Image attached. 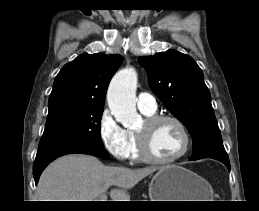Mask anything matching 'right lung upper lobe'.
I'll return each instance as SVG.
<instances>
[{"label": "right lung upper lobe", "instance_id": "right-lung-upper-lobe-1", "mask_svg": "<svg viewBox=\"0 0 259 211\" xmlns=\"http://www.w3.org/2000/svg\"><path fill=\"white\" fill-rule=\"evenodd\" d=\"M123 61L121 55L82 54L56 76L47 119L84 108H104L109 82Z\"/></svg>", "mask_w": 259, "mask_h": 211}]
</instances>
